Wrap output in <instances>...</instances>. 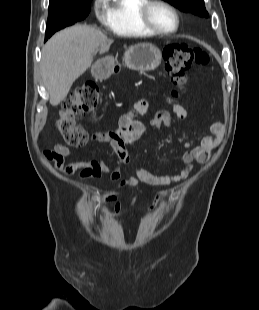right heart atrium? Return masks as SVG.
<instances>
[{
    "instance_id": "d8ad5b80",
    "label": "right heart atrium",
    "mask_w": 259,
    "mask_h": 310,
    "mask_svg": "<svg viewBox=\"0 0 259 310\" xmlns=\"http://www.w3.org/2000/svg\"><path fill=\"white\" fill-rule=\"evenodd\" d=\"M108 0H93L92 10L95 18L101 22L105 23L108 17Z\"/></svg>"
}]
</instances>
